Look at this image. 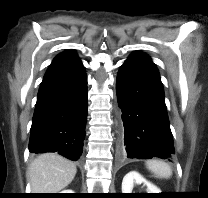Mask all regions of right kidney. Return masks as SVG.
Listing matches in <instances>:
<instances>
[{
	"label": "right kidney",
	"instance_id": "1",
	"mask_svg": "<svg viewBox=\"0 0 208 198\" xmlns=\"http://www.w3.org/2000/svg\"><path fill=\"white\" fill-rule=\"evenodd\" d=\"M62 193H74V191H72L71 189H67L65 191H62Z\"/></svg>",
	"mask_w": 208,
	"mask_h": 198
}]
</instances>
